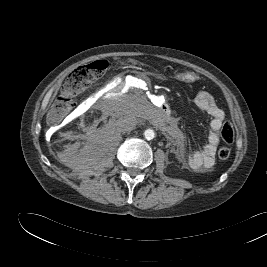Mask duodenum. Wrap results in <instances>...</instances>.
I'll list each match as a JSON object with an SVG mask.
<instances>
[{
	"label": "duodenum",
	"instance_id": "duodenum-1",
	"mask_svg": "<svg viewBox=\"0 0 267 267\" xmlns=\"http://www.w3.org/2000/svg\"><path fill=\"white\" fill-rule=\"evenodd\" d=\"M115 91L117 93H123L125 96L128 97L138 96L139 98L142 99H145L147 97V94L143 91H140L139 89H132V90L127 89L126 84L123 81H118L115 84ZM158 111H162L169 116V107L165 104L159 106Z\"/></svg>",
	"mask_w": 267,
	"mask_h": 267
}]
</instances>
